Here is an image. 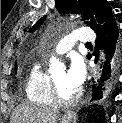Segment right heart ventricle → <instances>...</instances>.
Masks as SVG:
<instances>
[{
	"label": "right heart ventricle",
	"instance_id": "right-heart-ventricle-1",
	"mask_svg": "<svg viewBox=\"0 0 122 123\" xmlns=\"http://www.w3.org/2000/svg\"><path fill=\"white\" fill-rule=\"evenodd\" d=\"M28 100L39 106H50L54 103L50 93V76L42 63H35L30 69L25 86Z\"/></svg>",
	"mask_w": 122,
	"mask_h": 123
}]
</instances>
